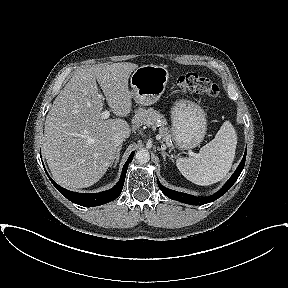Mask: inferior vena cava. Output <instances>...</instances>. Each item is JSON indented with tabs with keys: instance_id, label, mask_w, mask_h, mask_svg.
<instances>
[{
	"instance_id": "1",
	"label": "inferior vena cava",
	"mask_w": 288,
	"mask_h": 288,
	"mask_svg": "<svg viewBox=\"0 0 288 288\" xmlns=\"http://www.w3.org/2000/svg\"><path fill=\"white\" fill-rule=\"evenodd\" d=\"M123 141H125V138L123 136H121V135L114 136V142L117 145H121V143H123Z\"/></svg>"
}]
</instances>
